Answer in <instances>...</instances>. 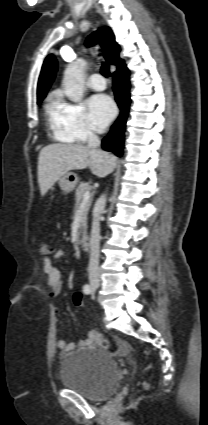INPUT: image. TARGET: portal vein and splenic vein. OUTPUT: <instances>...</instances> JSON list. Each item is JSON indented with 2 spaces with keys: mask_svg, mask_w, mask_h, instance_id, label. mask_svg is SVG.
<instances>
[{
  "mask_svg": "<svg viewBox=\"0 0 208 425\" xmlns=\"http://www.w3.org/2000/svg\"><path fill=\"white\" fill-rule=\"evenodd\" d=\"M90 197H91V195H90L89 192H85L84 193V195H83V203L81 205V208L82 209L85 207L86 203L90 200Z\"/></svg>",
  "mask_w": 208,
  "mask_h": 425,
  "instance_id": "18ae733b",
  "label": "portal vein and splenic vein"
}]
</instances>
